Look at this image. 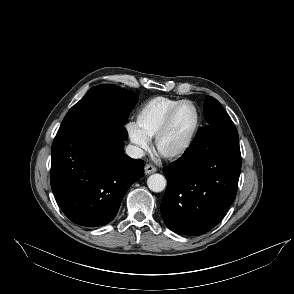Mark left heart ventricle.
I'll return each mask as SVG.
<instances>
[{
	"label": "left heart ventricle",
	"instance_id": "obj_1",
	"mask_svg": "<svg viewBox=\"0 0 294 294\" xmlns=\"http://www.w3.org/2000/svg\"><path fill=\"white\" fill-rule=\"evenodd\" d=\"M196 123V111L191 104H184L175 114L171 126L160 143L164 153L175 151L188 140Z\"/></svg>",
	"mask_w": 294,
	"mask_h": 294
}]
</instances>
